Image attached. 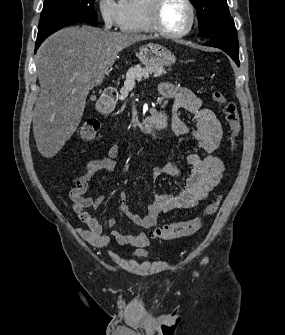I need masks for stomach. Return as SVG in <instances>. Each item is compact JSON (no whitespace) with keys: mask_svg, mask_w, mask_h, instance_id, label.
<instances>
[{"mask_svg":"<svg viewBox=\"0 0 285 335\" xmlns=\"http://www.w3.org/2000/svg\"><path fill=\"white\" fill-rule=\"evenodd\" d=\"M138 58L144 66H172L176 62L174 54L159 44L142 46Z\"/></svg>","mask_w":285,"mask_h":335,"instance_id":"obj_1","label":"stomach"}]
</instances>
